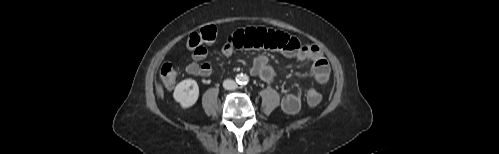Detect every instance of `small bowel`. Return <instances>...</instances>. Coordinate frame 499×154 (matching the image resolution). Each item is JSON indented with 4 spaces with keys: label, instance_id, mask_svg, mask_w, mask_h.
<instances>
[{
    "label": "small bowel",
    "instance_id": "obj_1",
    "mask_svg": "<svg viewBox=\"0 0 499 154\" xmlns=\"http://www.w3.org/2000/svg\"><path fill=\"white\" fill-rule=\"evenodd\" d=\"M238 49H263L277 51L286 57L298 62H310L312 74L320 86L326 84L330 75V66L322 50L316 45L303 44L298 38L284 32L274 31L263 27H249L239 29L229 35L222 47V54L232 56ZM205 46H200L192 53L193 61L186 67V72L192 76L209 77L212 67L208 63H200L207 57ZM250 72L269 81L273 70L268 65V58L260 55L249 62ZM281 107L288 114H295L301 108V99L298 94L288 93L282 97Z\"/></svg>",
    "mask_w": 499,
    "mask_h": 154
}]
</instances>
